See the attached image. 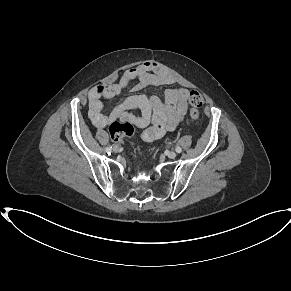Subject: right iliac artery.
I'll return each mask as SVG.
<instances>
[{
  "label": "right iliac artery",
  "mask_w": 291,
  "mask_h": 291,
  "mask_svg": "<svg viewBox=\"0 0 291 291\" xmlns=\"http://www.w3.org/2000/svg\"><path fill=\"white\" fill-rule=\"evenodd\" d=\"M111 148H112V147H107V148H106V152H107L108 154L111 153Z\"/></svg>",
  "instance_id": "right-iliac-artery-1"
}]
</instances>
